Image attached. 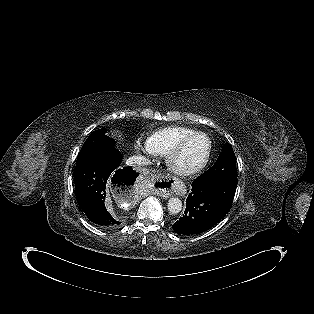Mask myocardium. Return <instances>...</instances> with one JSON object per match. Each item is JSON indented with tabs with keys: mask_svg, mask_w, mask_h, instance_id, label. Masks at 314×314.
Segmentation results:
<instances>
[{
	"mask_svg": "<svg viewBox=\"0 0 314 314\" xmlns=\"http://www.w3.org/2000/svg\"><path fill=\"white\" fill-rule=\"evenodd\" d=\"M196 137H203L207 141V151L205 157L202 159L201 162L194 166H183L180 163L181 156L183 155L188 143L192 141ZM212 141L210 137L203 132H194L184 139L167 155L166 157V165L167 167L174 173L181 175V176H192L200 173L202 170L206 168L209 164V161L212 156Z\"/></svg>",
	"mask_w": 314,
	"mask_h": 314,
	"instance_id": "myocardium-1",
	"label": "myocardium"
}]
</instances>
